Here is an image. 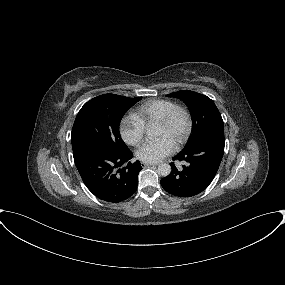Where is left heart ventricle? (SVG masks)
I'll list each match as a JSON object with an SVG mask.
<instances>
[{
    "mask_svg": "<svg viewBox=\"0 0 285 285\" xmlns=\"http://www.w3.org/2000/svg\"><path fill=\"white\" fill-rule=\"evenodd\" d=\"M183 126V119L179 116L176 117L174 122L168 127L158 124L156 129V137L160 138L162 136H167L176 144L177 140L182 134Z\"/></svg>",
    "mask_w": 285,
    "mask_h": 285,
    "instance_id": "b2bd125f",
    "label": "left heart ventricle"
}]
</instances>
